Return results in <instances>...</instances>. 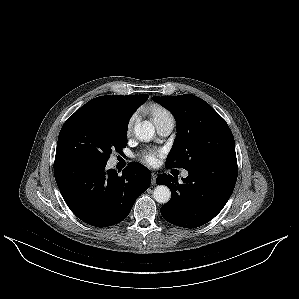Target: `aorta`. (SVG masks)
Wrapping results in <instances>:
<instances>
[{"label":"aorta","instance_id":"obj_1","mask_svg":"<svg viewBox=\"0 0 299 299\" xmlns=\"http://www.w3.org/2000/svg\"><path fill=\"white\" fill-rule=\"evenodd\" d=\"M134 133L137 139L141 141H149L155 135V128L149 121L138 122L134 127ZM154 199L161 204L169 202L171 191L165 185H158L153 191Z\"/></svg>","mask_w":299,"mask_h":299}]
</instances>
